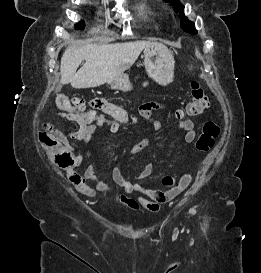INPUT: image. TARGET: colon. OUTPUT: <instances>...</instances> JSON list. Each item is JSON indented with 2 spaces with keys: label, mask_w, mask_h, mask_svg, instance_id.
Returning <instances> with one entry per match:
<instances>
[{
  "label": "colon",
  "mask_w": 261,
  "mask_h": 273,
  "mask_svg": "<svg viewBox=\"0 0 261 273\" xmlns=\"http://www.w3.org/2000/svg\"><path fill=\"white\" fill-rule=\"evenodd\" d=\"M191 99L187 104L185 113L189 116H197L203 113L209 106V100L203 88L197 81L190 84ZM57 106L64 109L74 116L80 117L87 122L95 119L94 112H84V101L79 97L69 98L65 95L57 97ZM143 117L148 116L147 113L141 114ZM219 126L214 121H207L203 124L201 134L196 141V149L199 151H208L215 143V139L219 135ZM39 140L46 150L50 160L56 165L64 168L73 166L75 157L72 151L65 143L64 137L54 130H43L39 134ZM162 184L169 191L179 192L188 186V180H180L177 182L174 175H167L162 179Z\"/></svg>",
  "instance_id": "1"
}]
</instances>
